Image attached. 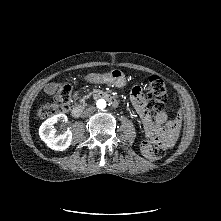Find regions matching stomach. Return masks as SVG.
Returning a JSON list of instances; mask_svg holds the SVG:
<instances>
[{"instance_id": "obj_1", "label": "stomach", "mask_w": 221, "mask_h": 221, "mask_svg": "<svg viewBox=\"0 0 221 221\" xmlns=\"http://www.w3.org/2000/svg\"><path fill=\"white\" fill-rule=\"evenodd\" d=\"M86 80L92 83L112 84L118 88L126 85L125 74L120 69H113L104 74L90 73L86 76Z\"/></svg>"}]
</instances>
